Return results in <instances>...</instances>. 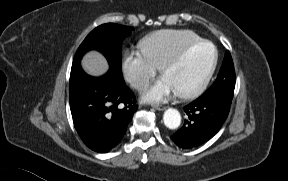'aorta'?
Segmentation results:
<instances>
[{
    "instance_id": "obj_1",
    "label": "aorta",
    "mask_w": 288,
    "mask_h": 181,
    "mask_svg": "<svg viewBox=\"0 0 288 181\" xmlns=\"http://www.w3.org/2000/svg\"><path fill=\"white\" fill-rule=\"evenodd\" d=\"M163 121L167 128L176 129L181 124V115L177 109L169 108L164 112Z\"/></svg>"
}]
</instances>
